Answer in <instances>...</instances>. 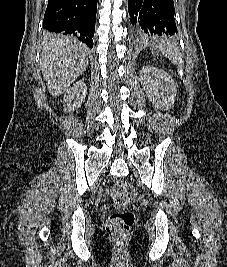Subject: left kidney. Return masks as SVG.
Here are the masks:
<instances>
[{"label":"left kidney","mask_w":227,"mask_h":267,"mask_svg":"<svg viewBox=\"0 0 227 267\" xmlns=\"http://www.w3.org/2000/svg\"><path fill=\"white\" fill-rule=\"evenodd\" d=\"M139 79L156 108L168 110L174 104L176 85L167 72L153 66H145L140 71Z\"/></svg>","instance_id":"1"}]
</instances>
